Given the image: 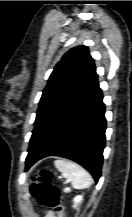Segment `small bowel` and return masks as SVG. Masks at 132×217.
Returning a JSON list of instances; mask_svg holds the SVG:
<instances>
[{
    "mask_svg": "<svg viewBox=\"0 0 132 217\" xmlns=\"http://www.w3.org/2000/svg\"><path fill=\"white\" fill-rule=\"evenodd\" d=\"M45 217H64V214H63V216H61V215L55 214V213H53V212H51V211H47V212L45 213Z\"/></svg>",
    "mask_w": 132,
    "mask_h": 217,
    "instance_id": "c3829d8e",
    "label": "small bowel"
}]
</instances>
